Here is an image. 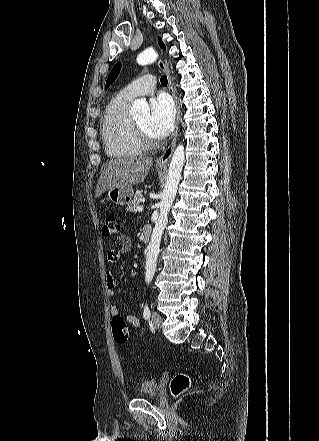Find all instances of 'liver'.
<instances>
[{
	"mask_svg": "<svg viewBox=\"0 0 319 441\" xmlns=\"http://www.w3.org/2000/svg\"><path fill=\"white\" fill-rule=\"evenodd\" d=\"M153 164L151 157H128L110 160L101 172L95 196L113 187L138 184L146 178Z\"/></svg>",
	"mask_w": 319,
	"mask_h": 441,
	"instance_id": "6515ba94",
	"label": "liver"
}]
</instances>
